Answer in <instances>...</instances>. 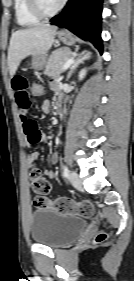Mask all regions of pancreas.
I'll return each instance as SVG.
<instances>
[{
	"label": "pancreas",
	"mask_w": 134,
	"mask_h": 281,
	"mask_svg": "<svg viewBox=\"0 0 134 281\" xmlns=\"http://www.w3.org/2000/svg\"><path fill=\"white\" fill-rule=\"evenodd\" d=\"M72 57V51L67 47L59 48L49 56L44 74L57 77L63 71L62 67Z\"/></svg>",
	"instance_id": "pancreas-1"
}]
</instances>
